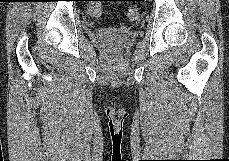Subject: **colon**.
<instances>
[{
    "instance_id": "5ec220e1",
    "label": "colon",
    "mask_w": 229,
    "mask_h": 161,
    "mask_svg": "<svg viewBox=\"0 0 229 161\" xmlns=\"http://www.w3.org/2000/svg\"><path fill=\"white\" fill-rule=\"evenodd\" d=\"M103 8L101 0H90L89 6H88V13L92 17H98L102 14ZM126 15L131 20H136L140 16V10L139 8L132 6L127 9Z\"/></svg>"
}]
</instances>
